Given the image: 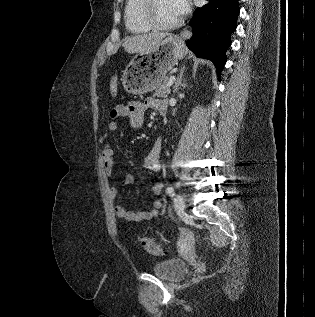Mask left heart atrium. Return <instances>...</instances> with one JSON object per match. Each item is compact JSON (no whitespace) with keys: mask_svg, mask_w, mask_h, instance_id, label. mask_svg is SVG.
<instances>
[{"mask_svg":"<svg viewBox=\"0 0 315 317\" xmlns=\"http://www.w3.org/2000/svg\"><path fill=\"white\" fill-rule=\"evenodd\" d=\"M176 13L181 16L188 10L187 0H171Z\"/></svg>","mask_w":315,"mask_h":317,"instance_id":"obj_1","label":"left heart atrium"}]
</instances>
